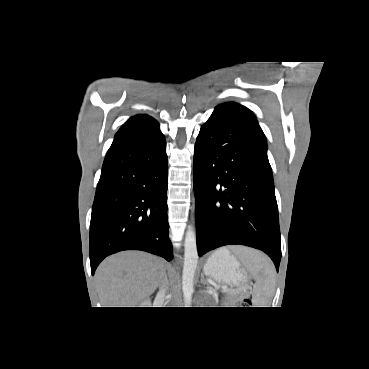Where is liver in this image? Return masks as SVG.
<instances>
[{"label": "liver", "instance_id": "6515ba94", "mask_svg": "<svg viewBox=\"0 0 369 369\" xmlns=\"http://www.w3.org/2000/svg\"><path fill=\"white\" fill-rule=\"evenodd\" d=\"M166 262L140 251H125L107 257L95 278L103 307H135L161 284Z\"/></svg>", "mask_w": 369, "mask_h": 369}]
</instances>
